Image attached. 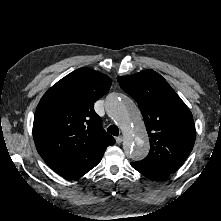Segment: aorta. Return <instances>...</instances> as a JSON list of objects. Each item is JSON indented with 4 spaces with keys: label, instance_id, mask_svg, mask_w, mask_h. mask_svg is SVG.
I'll return each instance as SVG.
<instances>
[{
    "label": "aorta",
    "instance_id": "1",
    "mask_svg": "<svg viewBox=\"0 0 221 221\" xmlns=\"http://www.w3.org/2000/svg\"><path fill=\"white\" fill-rule=\"evenodd\" d=\"M105 107L108 115L123 132L125 154L134 161L145 158L149 152V140L137 106L126 96L111 94Z\"/></svg>",
    "mask_w": 221,
    "mask_h": 221
}]
</instances>
